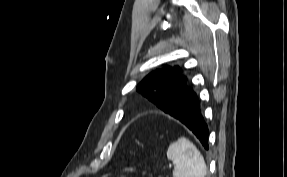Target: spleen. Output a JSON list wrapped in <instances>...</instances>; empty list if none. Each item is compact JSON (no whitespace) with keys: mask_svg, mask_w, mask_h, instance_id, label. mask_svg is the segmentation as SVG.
Listing matches in <instances>:
<instances>
[{"mask_svg":"<svg viewBox=\"0 0 287 177\" xmlns=\"http://www.w3.org/2000/svg\"><path fill=\"white\" fill-rule=\"evenodd\" d=\"M167 158L175 163L173 177H205L207 167L203 156L187 138L181 137L170 144Z\"/></svg>","mask_w":287,"mask_h":177,"instance_id":"obj_1","label":"spleen"}]
</instances>
